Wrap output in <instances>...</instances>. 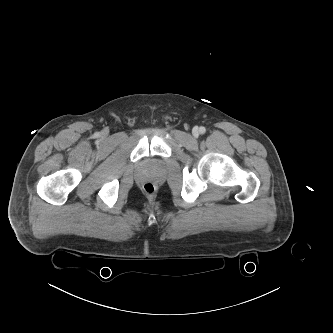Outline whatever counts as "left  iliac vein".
<instances>
[{"label": "left iliac vein", "mask_w": 333, "mask_h": 333, "mask_svg": "<svg viewBox=\"0 0 333 333\" xmlns=\"http://www.w3.org/2000/svg\"><path fill=\"white\" fill-rule=\"evenodd\" d=\"M193 135L197 137L199 135V130L197 128L193 129Z\"/></svg>", "instance_id": "4c4485c4"}]
</instances>
